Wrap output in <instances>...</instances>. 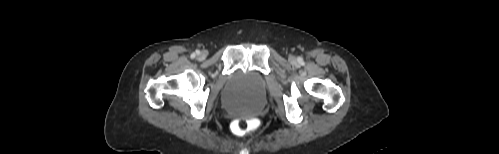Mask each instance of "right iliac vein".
<instances>
[{"label":"right iliac vein","instance_id":"63e3f726","mask_svg":"<svg viewBox=\"0 0 499 154\" xmlns=\"http://www.w3.org/2000/svg\"><path fill=\"white\" fill-rule=\"evenodd\" d=\"M205 56H206V55H205V53H204V52H201V53L199 54V58H200V59H204V58H205Z\"/></svg>","mask_w":499,"mask_h":154}]
</instances>
